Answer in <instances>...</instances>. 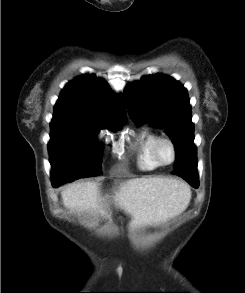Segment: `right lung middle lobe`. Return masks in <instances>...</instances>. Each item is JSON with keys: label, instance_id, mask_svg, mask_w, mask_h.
<instances>
[{"label": "right lung middle lobe", "instance_id": "obj_1", "mask_svg": "<svg viewBox=\"0 0 245 293\" xmlns=\"http://www.w3.org/2000/svg\"><path fill=\"white\" fill-rule=\"evenodd\" d=\"M50 128L48 151L52 183L62 185L102 174L99 128L62 122H51Z\"/></svg>", "mask_w": 245, "mask_h": 293}]
</instances>
